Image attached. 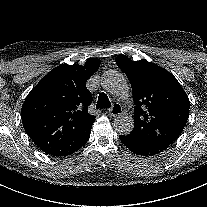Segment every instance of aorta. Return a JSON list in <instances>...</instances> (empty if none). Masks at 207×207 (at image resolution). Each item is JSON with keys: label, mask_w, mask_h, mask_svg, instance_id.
<instances>
[{"label": "aorta", "mask_w": 207, "mask_h": 207, "mask_svg": "<svg viewBox=\"0 0 207 207\" xmlns=\"http://www.w3.org/2000/svg\"><path fill=\"white\" fill-rule=\"evenodd\" d=\"M101 85L106 92L127 98L129 96V86L124 75L116 70H108L102 74ZM115 130L121 135H128L134 127V120L130 115L119 114L113 122Z\"/></svg>", "instance_id": "aorta-1"}]
</instances>
